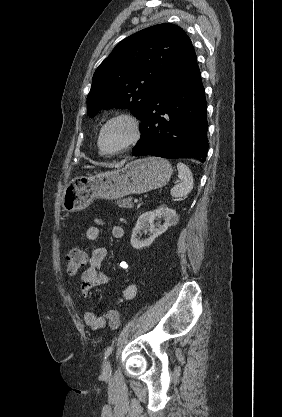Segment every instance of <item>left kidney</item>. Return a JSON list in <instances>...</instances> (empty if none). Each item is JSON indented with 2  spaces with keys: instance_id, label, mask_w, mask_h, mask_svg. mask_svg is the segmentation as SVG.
<instances>
[{
  "instance_id": "obj_1",
  "label": "left kidney",
  "mask_w": 282,
  "mask_h": 417,
  "mask_svg": "<svg viewBox=\"0 0 282 417\" xmlns=\"http://www.w3.org/2000/svg\"><path fill=\"white\" fill-rule=\"evenodd\" d=\"M161 219V217H165V223L160 225L158 229H156L154 225L155 219ZM179 221L178 215H176V211L174 209H168L167 204H161L159 209H155V211H147V213H143L137 219V223L133 229L132 237H131V245L133 249H142V247H150L153 241H155L158 235H162L167 231L168 227H175ZM143 233H148L149 231V239H143L140 241L138 239V235H142Z\"/></svg>"
}]
</instances>
